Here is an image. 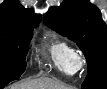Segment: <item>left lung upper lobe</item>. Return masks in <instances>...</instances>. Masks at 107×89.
Instances as JSON below:
<instances>
[{"mask_svg":"<svg viewBox=\"0 0 107 89\" xmlns=\"http://www.w3.org/2000/svg\"><path fill=\"white\" fill-rule=\"evenodd\" d=\"M44 23L57 33L75 41L88 64L82 89L107 84V27L99 9L89 0H64L51 7Z\"/></svg>","mask_w":107,"mask_h":89,"instance_id":"1","label":"left lung upper lobe"}]
</instances>
